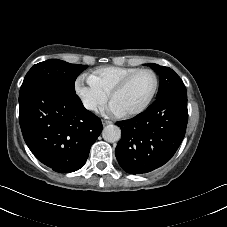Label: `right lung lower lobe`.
Instances as JSON below:
<instances>
[{"instance_id": "obj_1", "label": "right lung lower lobe", "mask_w": 227, "mask_h": 227, "mask_svg": "<svg viewBox=\"0 0 227 227\" xmlns=\"http://www.w3.org/2000/svg\"><path fill=\"white\" fill-rule=\"evenodd\" d=\"M19 105L23 138L40 162L59 173L84 166L103 127L76 94L38 83L20 92Z\"/></svg>"}]
</instances>
